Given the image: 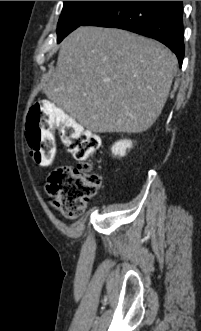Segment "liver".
<instances>
[{
	"label": "liver",
	"instance_id": "6515ba94",
	"mask_svg": "<svg viewBox=\"0 0 201 331\" xmlns=\"http://www.w3.org/2000/svg\"><path fill=\"white\" fill-rule=\"evenodd\" d=\"M176 71V56L156 40L81 26L63 40L43 90L90 131L140 133L161 114Z\"/></svg>",
	"mask_w": 201,
	"mask_h": 331
}]
</instances>
